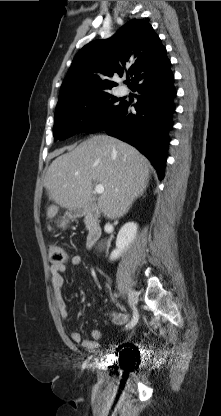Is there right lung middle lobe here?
I'll list each match as a JSON object with an SVG mask.
<instances>
[{
  "mask_svg": "<svg viewBox=\"0 0 221 416\" xmlns=\"http://www.w3.org/2000/svg\"><path fill=\"white\" fill-rule=\"evenodd\" d=\"M122 99L109 92L57 104L54 140H64L79 132L94 133L107 124L119 109Z\"/></svg>",
  "mask_w": 221,
  "mask_h": 416,
  "instance_id": "obj_1",
  "label": "right lung middle lobe"
}]
</instances>
